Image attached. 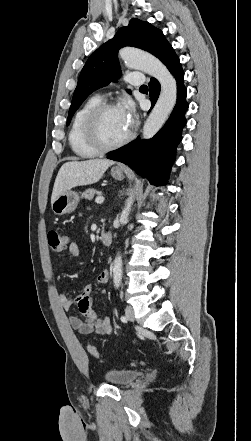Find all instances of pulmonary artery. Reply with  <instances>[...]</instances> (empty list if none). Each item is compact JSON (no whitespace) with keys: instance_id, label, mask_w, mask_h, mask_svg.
Listing matches in <instances>:
<instances>
[{"instance_id":"1","label":"pulmonary artery","mask_w":251,"mask_h":441,"mask_svg":"<svg viewBox=\"0 0 251 441\" xmlns=\"http://www.w3.org/2000/svg\"><path fill=\"white\" fill-rule=\"evenodd\" d=\"M126 81L132 85L139 86L144 83V77L139 72H130L125 77Z\"/></svg>"}]
</instances>
